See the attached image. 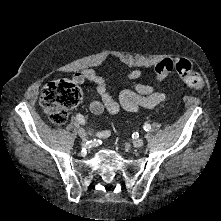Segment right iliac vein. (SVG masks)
I'll return each mask as SVG.
<instances>
[{
	"label": "right iliac vein",
	"mask_w": 221,
	"mask_h": 221,
	"mask_svg": "<svg viewBox=\"0 0 221 221\" xmlns=\"http://www.w3.org/2000/svg\"><path fill=\"white\" fill-rule=\"evenodd\" d=\"M79 136L82 140L86 141L87 140V135L85 133V131L83 130V128H79L78 130Z\"/></svg>",
	"instance_id": "obj_1"
}]
</instances>
